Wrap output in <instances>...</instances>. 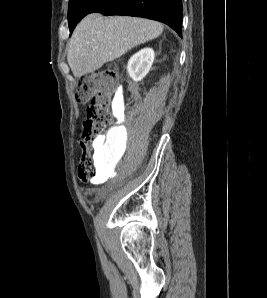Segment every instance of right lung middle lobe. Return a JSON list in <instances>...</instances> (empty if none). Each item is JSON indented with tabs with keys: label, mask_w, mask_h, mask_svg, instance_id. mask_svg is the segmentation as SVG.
I'll list each match as a JSON object with an SVG mask.
<instances>
[{
	"label": "right lung middle lobe",
	"mask_w": 267,
	"mask_h": 298,
	"mask_svg": "<svg viewBox=\"0 0 267 298\" xmlns=\"http://www.w3.org/2000/svg\"><path fill=\"white\" fill-rule=\"evenodd\" d=\"M99 0H70L68 8V23L70 33L77 25V23L97 4Z\"/></svg>",
	"instance_id": "1"
}]
</instances>
